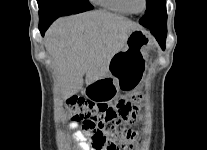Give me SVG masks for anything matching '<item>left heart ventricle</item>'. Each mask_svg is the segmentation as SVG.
<instances>
[{
    "instance_id": "obj_1",
    "label": "left heart ventricle",
    "mask_w": 207,
    "mask_h": 150,
    "mask_svg": "<svg viewBox=\"0 0 207 150\" xmlns=\"http://www.w3.org/2000/svg\"><path fill=\"white\" fill-rule=\"evenodd\" d=\"M132 6L135 10L140 11L143 8V0H131Z\"/></svg>"
}]
</instances>
